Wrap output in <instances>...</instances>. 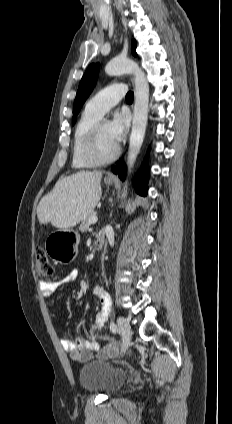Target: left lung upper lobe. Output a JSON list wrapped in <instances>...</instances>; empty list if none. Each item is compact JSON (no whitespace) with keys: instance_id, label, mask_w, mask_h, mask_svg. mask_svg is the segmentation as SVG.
I'll return each mask as SVG.
<instances>
[{"instance_id":"left-lung-upper-lobe-1","label":"left lung upper lobe","mask_w":232,"mask_h":424,"mask_svg":"<svg viewBox=\"0 0 232 424\" xmlns=\"http://www.w3.org/2000/svg\"><path fill=\"white\" fill-rule=\"evenodd\" d=\"M132 54L136 56V41L132 40L131 43ZM99 64H91L85 74L83 75L79 88L77 91V95L74 101L73 114L76 116L90 93L92 92L95 83L98 78ZM72 123H75V117H73Z\"/></svg>"}]
</instances>
